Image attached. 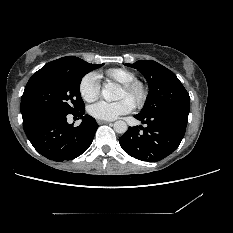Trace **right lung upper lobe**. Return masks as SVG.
Returning <instances> with one entry per match:
<instances>
[{
  "label": "right lung upper lobe",
  "mask_w": 233,
  "mask_h": 233,
  "mask_svg": "<svg viewBox=\"0 0 233 233\" xmlns=\"http://www.w3.org/2000/svg\"><path fill=\"white\" fill-rule=\"evenodd\" d=\"M73 56H67V57H62L58 60H54L52 62L47 63L48 65H56V64H61L69 61Z\"/></svg>",
  "instance_id": "obj_1"
}]
</instances>
